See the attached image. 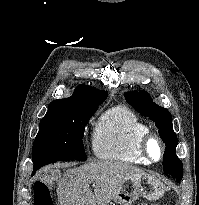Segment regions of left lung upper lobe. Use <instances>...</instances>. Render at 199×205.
I'll return each mask as SVG.
<instances>
[{
  "label": "left lung upper lobe",
  "mask_w": 199,
  "mask_h": 205,
  "mask_svg": "<svg viewBox=\"0 0 199 205\" xmlns=\"http://www.w3.org/2000/svg\"><path fill=\"white\" fill-rule=\"evenodd\" d=\"M126 101L137 112L149 117L155 122L158 132L166 149L163 156V171L171 174L178 182L183 177L182 162L176 155L177 135L173 131L172 115L170 112L153 102L146 92H130L125 94Z\"/></svg>",
  "instance_id": "5c2ea615"
}]
</instances>
